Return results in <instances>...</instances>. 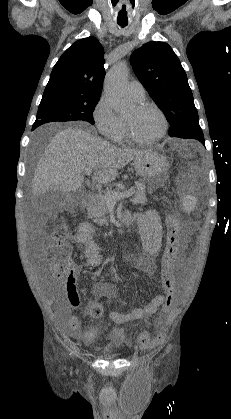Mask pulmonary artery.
<instances>
[{"label": "pulmonary artery", "instance_id": "1", "mask_svg": "<svg viewBox=\"0 0 231 419\" xmlns=\"http://www.w3.org/2000/svg\"><path fill=\"white\" fill-rule=\"evenodd\" d=\"M128 92L136 100H142L145 96V88L138 80H133L128 84Z\"/></svg>", "mask_w": 231, "mask_h": 419}]
</instances>
